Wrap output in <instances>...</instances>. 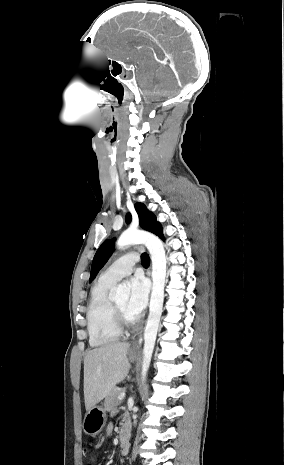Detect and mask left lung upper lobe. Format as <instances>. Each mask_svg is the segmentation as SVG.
<instances>
[{
	"mask_svg": "<svg viewBox=\"0 0 284 465\" xmlns=\"http://www.w3.org/2000/svg\"><path fill=\"white\" fill-rule=\"evenodd\" d=\"M135 209L138 213L139 219H140V225L143 229L148 230L156 235H158L160 238L164 239L163 233H162V227L160 223L156 221L155 215L148 211L146 206L142 203H136L135 204ZM131 221V215L127 214L126 216V222L130 223ZM114 242L115 239H109L104 241L99 249L97 250L93 262H92V267H91V274H90V282L95 278L99 270L105 265L111 254L113 253L114 250Z\"/></svg>",
	"mask_w": 284,
	"mask_h": 465,
	"instance_id": "left-lung-upper-lobe-1",
	"label": "left lung upper lobe"
}]
</instances>
